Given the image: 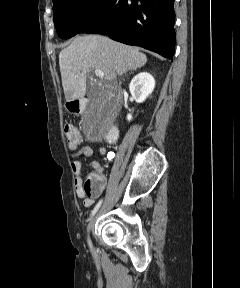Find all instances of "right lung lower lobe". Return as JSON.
<instances>
[{
    "label": "right lung lower lobe",
    "mask_w": 240,
    "mask_h": 288,
    "mask_svg": "<svg viewBox=\"0 0 240 288\" xmlns=\"http://www.w3.org/2000/svg\"><path fill=\"white\" fill-rule=\"evenodd\" d=\"M174 22V0H111L81 33L106 34L113 40L149 49L172 60Z\"/></svg>",
    "instance_id": "1"
}]
</instances>
